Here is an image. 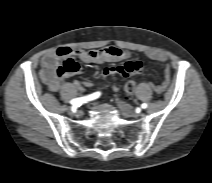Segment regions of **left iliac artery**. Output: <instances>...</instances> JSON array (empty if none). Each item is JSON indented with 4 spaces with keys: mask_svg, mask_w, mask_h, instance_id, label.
<instances>
[{
    "mask_svg": "<svg viewBox=\"0 0 212 183\" xmlns=\"http://www.w3.org/2000/svg\"><path fill=\"white\" fill-rule=\"evenodd\" d=\"M147 104L146 103H143L142 105H141V107L143 108V109H145V108H147Z\"/></svg>",
    "mask_w": 212,
    "mask_h": 183,
    "instance_id": "44dca946",
    "label": "left iliac artery"
}]
</instances>
